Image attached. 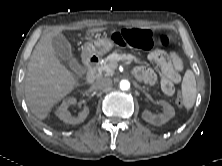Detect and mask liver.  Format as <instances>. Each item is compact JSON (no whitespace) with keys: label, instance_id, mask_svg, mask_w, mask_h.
Segmentation results:
<instances>
[{"label":"liver","instance_id":"6515ba94","mask_svg":"<svg viewBox=\"0 0 222 166\" xmlns=\"http://www.w3.org/2000/svg\"><path fill=\"white\" fill-rule=\"evenodd\" d=\"M65 27L56 26L45 33L35 46L25 77V97L31 112L40 120L47 118L52 107L80 86L78 79L56 57L52 38ZM105 28L89 29L95 33Z\"/></svg>","mask_w":222,"mask_h":166}]
</instances>
